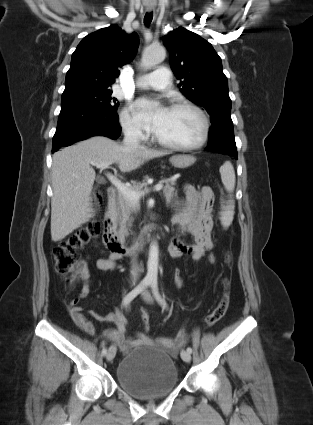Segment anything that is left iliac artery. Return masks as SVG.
Returning a JSON list of instances; mask_svg holds the SVG:
<instances>
[{
	"label": "left iliac artery",
	"mask_w": 313,
	"mask_h": 425,
	"mask_svg": "<svg viewBox=\"0 0 313 425\" xmlns=\"http://www.w3.org/2000/svg\"><path fill=\"white\" fill-rule=\"evenodd\" d=\"M150 285H151V288H152L153 295L156 298V300L158 301V303L163 308H166L167 307V303L164 301V299H162L161 295L159 294L157 280L156 279H152ZM187 352L192 353V348L191 347H188L187 348Z\"/></svg>",
	"instance_id": "44dca946"
}]
</instances>
